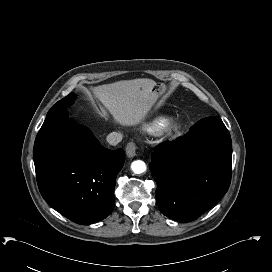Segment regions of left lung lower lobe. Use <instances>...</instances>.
<instances>
[{
	"label": "left lung lower lobe",
	"mask_w": 272,
	"mask_h": 272,
	"mask_svg": "<svg viewBox=\"0 0 272 272\" xmlns=\"http://www.w3.org/2000/svg\"><path fill=\"white\" fill-rule=\"evenodd\" d=\"M151 160L160 211L179 222L192 221L229 188L231 137L219 117L204 118L183 137L158 145Z\"/></svg>",
	"instance_id": "obj_1"
}]
</instances>
